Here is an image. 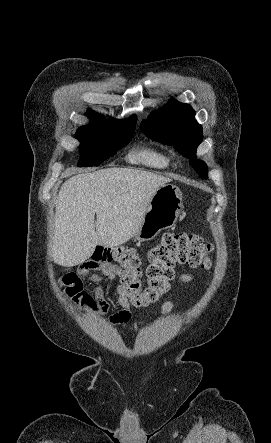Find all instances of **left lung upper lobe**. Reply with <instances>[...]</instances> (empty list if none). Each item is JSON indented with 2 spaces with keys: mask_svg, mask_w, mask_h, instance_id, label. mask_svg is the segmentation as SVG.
<instances>
[{
  "mask_svg": "<svg viewBox=\"0 0 271 443\" xmlns=\"http://www.w3.org/2000/svg\"><path fill=\"white\" fill-rule=\"evenodd\" d=\"M190 105L171 99L167 106L152 112L142 121L141 130L149 138L163 144L174 145L187 157L202 179L208 178L206 164L196 159V149L203 138L202 126L194 119Z\"/></svg>",
  "mask_w": 271,
  "mask_h": 443,
  "instance_id": "left-lung-upper-lobe-1",
  "label": "left lung upper lobe"
}]
</instances>
